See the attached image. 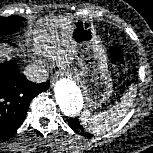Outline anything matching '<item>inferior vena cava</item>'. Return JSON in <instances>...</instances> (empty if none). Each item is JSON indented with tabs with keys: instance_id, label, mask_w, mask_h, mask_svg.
<instances>
[{
	"instance_id": "1",
	"label": "inferior vena cava",
	"mask_w": 153,
	"mask_h": 153,
	"mask_svg": "<svg viewBox=\"0 0 153 153\" xmlns=\"http://www.w3.org/2000/svg\"><path fill=\"white\" fill-rule=\"evenodd\" d=\"M24 75L35 83H41L48 79V72L44 66L30 64L25 67Z\"/></svg>"
}]
</instances>
